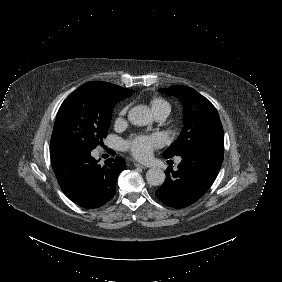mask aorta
Wrapping results in <instances>:
<instances>
[{
	"label": "aorta",
	"mask_w": 282,
	"mask_h": 282,
	"mask_svg": "<svg viewBox=\"0 0 282 282\" xmlns=\"http://www.w3.org/2000/svg\"><path fill=\"white\" fill-rule=\"evenodd\" d=\"M128 118L131 123L137 126H151L154 123L153 115L146 105H138L133 107ZM166 179L165 172L161 168H151L146 173V180L150 185L159 186Z\"/></svg>",
	"instance_id": "obj_1"
}]
</instances>
